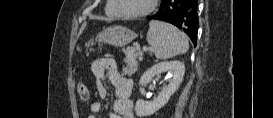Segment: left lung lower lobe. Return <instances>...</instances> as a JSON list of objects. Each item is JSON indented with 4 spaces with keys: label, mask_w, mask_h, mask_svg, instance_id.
<instances>
[{
    "label": "left lung lower lobe",
    "mask_w": 273,
    "mask_h": 118,
    "mask_svg": "<svg viewBox=\"0 0 273 118\" xmlns=\"http://www.w3.org/2000/svg\"><path fill=\"white\" fill-rule=\"evenodd\" d=\"M148 19L162 20L177 26L184 30L196 46L198 31L197 0H161L159 11L153 16H148Z\"/></svg>",
    "instance_id": "1"
}]
</instances>
